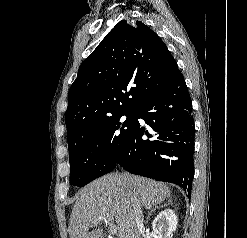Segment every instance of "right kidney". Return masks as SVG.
I'll return each instance as SVG.
<instances>
[{
  "instance_id": "right-kidney-1",
  "label": "right kidney",
  "mask_w": 247,
  "mask_h": 238,
  "mask_svg": "<svg viewBox=\"0 0 247 238\" xmlns=\"http://www.w3.org/2000/svg\"><path fill=\"white\" fill-rule=\"evenodd\" d=\"M178 218L171 209L161 211L153 220L152 229L158 238H172L177 228Z\"/></svg>"
}]
</instances>
